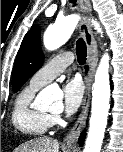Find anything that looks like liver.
<instances>
[{
	"label": "liver",
	"mask_w": 123,
	"mask_h": 152,
	"mask_svg": "<svg viewBox=\"0 0 123 152\" xmlns=\"http://www.w3.org/2000/svg\"><path fill=\"white\" fill-rule=\"evenodd\" d=\"M14 152H59V143L50 137H40L21 145Z\"/></svg>",
	"instance_id": "6515ba94"
}]
</instances>
